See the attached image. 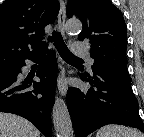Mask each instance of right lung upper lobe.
<instances>
[{
    "label": "right lung upper lobe",
    "mask_w": 144,
    "mask_h": 137,
    "mask_svg": "<svg viewBox=\"0 0 144 137\" xmlns=\"http://www.w3.org/2000/svg\"><path fill=\"white\" fill-rule=\"evenodd\" d=\"M59 9L57 0H5L0 5V73L46 47L44 27L55 21Z\"/></svg>",
    "instance_id": "obj_1"
}]
</instances>
